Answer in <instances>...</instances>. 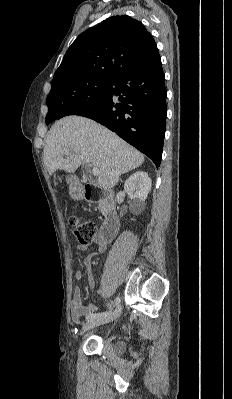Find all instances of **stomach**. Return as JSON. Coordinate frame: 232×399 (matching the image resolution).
I'll list each match as a JSON object with an SVG mask.
<instances>
[{
    "label": "stomach",
    "mask_w": 232,
    "mask_h": 399,
    "mask_svg": "<svg viewBox=\"0 0 232 399\" xmlns=\"http://www.w3.org/2000/svg\"><path fill=\"white\" fill-rule=\"evenodd\" d=\"M66 182L67 184H69L70 192L74 194V198H82L81 192H78V190H74L72 186L73 176H66Z\"/></svg>",
    "instance_id": "stomach-1"
}]
</instances>
